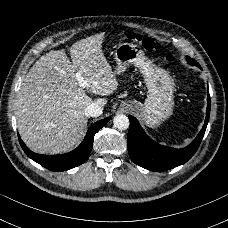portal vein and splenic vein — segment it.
<instances>
[{
    "label": "portal vein and splenic vein",
    "mask_w": 228,
    "mask_h": 228,
    "mask_svg": "<svg viewBox=\"0 0 228 228\" xmlns=\"http://www.w3.org/2000/svg\"><path fill=\"white\" fill-rule=\"evenodd\" d=\"M75 76H76V79H77L80 87L86 88L87 86H89V83L86 80H84V78L82 77V74L80 72H76ZM93 84L96 85L97 83L93 82Z\"/></svg>",
    "instance_id": "1"
}]
</instances>
